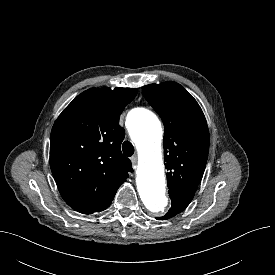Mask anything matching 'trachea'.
I'll return each mask as SVG.
<instances>
[{
	"label": "trachea",
	"instance_id": "trachea-1",
	"mask_svg": "<svg viewBox=\"0 0 275 275\" xmlns=\"http://www.w3.org/2000/svg\"><path fill=\"white\" fill-rule=\"evenodd\" d=\"M122 150H123V153L128 157L132 156L134 153V147H133L132 143L129 141H125L123 143Z\"/></svg>",
	"mask_w": 275,
	"mask_h": 275
}]
</instances>
